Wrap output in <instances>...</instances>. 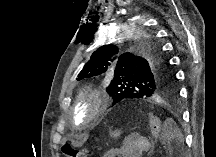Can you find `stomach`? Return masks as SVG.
I'll use <instances>...</instances> for the list:
<instances>
[{
  "label": "stomach",
  "mask_w": 216,
  "mask_h": 157,
  "mask_svg": "<svg viewBox=\"0 0 216 157\" xmlns=\"http://www.w3.org/2000/svg\"><path fill=\"white\" fill-rule=\"evenodd\" d=\"M119 134H120L119 130L110 132V135L113 136V137H117V136H119Z\"/></svg>",
  "instance_id": "0dacf381"
}]
</instances>
